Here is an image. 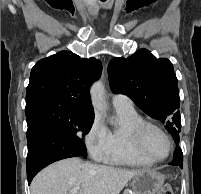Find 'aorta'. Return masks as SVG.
<instances>
[{
  "mask_svg": "<svg viewBox=\"0 0 201 194\" xmlns=\"http://www.w3.org/2000/svg\"><path fill=\"white\" fill-rule=\"evenodd\" d=\"M90 93L94 109L97 111H105L106 104L104 101V86L102 82H95L91 87Z\"/></svg>",
  "mask_w": 201,
  "mask_h": 194,
  "instance_id": "1",
  "label": "aorta"
}]
</instances>
